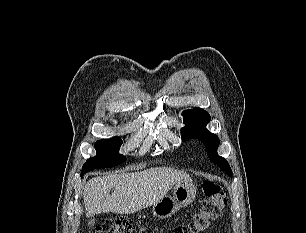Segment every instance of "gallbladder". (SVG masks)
I'll list each match as a JSON object with an SVG mask.
<instances>
[{"instance_id": "obj_1", "label": "gallbladder", "mask_w": 306, "mask_h": 233, "mask_svg": "<svg viewBox=\"0 0 306 233\" xmlns=\"http://www.w3.org/2000/svg\"><path fill=\"white\" fill-rule=\"evenodd\" d=\"M94 223H95V220H91V221L89 222L90 225H93Z\"/></svg>"}]
</instances>
